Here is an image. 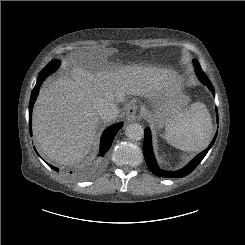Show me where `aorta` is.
Masks as SVG:
<instances>
[{
	"label": "aorta",
	"instance_id": "762f6f07",
	"mask_svg": "<svg viewBox=\"0 0 245 245\" xmlns=\"http://www.w3.org/2000/svg\"><path fill=\"white\" fill-rule=\"evenodd\" d=\"M125 134L130 141H139L144 136V129L140 124H129L126 127Z\"/></svg>",
	"mask_w": 245,
	"mask_h": 245
}]
</instances>
